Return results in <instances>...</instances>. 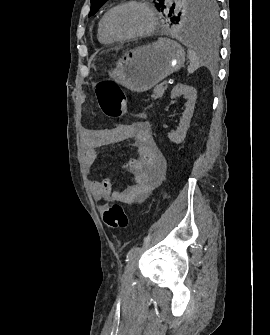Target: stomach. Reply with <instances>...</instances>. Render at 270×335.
Segmentation results:
<instances>
[{
  "label": "stomach",
  "mask_w": 270,
  "mask_h": 335,
  "mask_svg": "<svg viewBox=\"0 0 270 335\" xmlns=\"http://www.w3.org/2000/svg\"><path fill=\"white\" fill-rule=\"evenodd\" d=\"M185 62V52L175 40L158 38L148 46L128 50L109 76L131 92H146L158 82L178 72Z\"/></svg>",
  "instance_id": "stomach-1"
}]
</instances>
